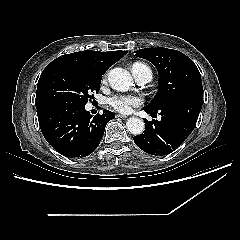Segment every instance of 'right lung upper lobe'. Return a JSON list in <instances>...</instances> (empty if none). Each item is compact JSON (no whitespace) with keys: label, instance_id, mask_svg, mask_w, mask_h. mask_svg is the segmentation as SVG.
Masks as SVG:
<instances>
[{"label":"right lung upper lobe","instance_id":"cb5924a9","mask_svg":"<svg viewBox=\"0 0 240 240\" xmlns=\"http://www.w3.org/2000/svg\"><path fill=\"white\" fill-rule=\"evenodd\" d=\"M126 53V51L99 52L92 50L75 52L58 57L44 70L55 64L65 62L75 64L91 74L102 76L110 66L121 59Z\"/></svg>","mask_w":240,"mask_h":240}]
</instances>
